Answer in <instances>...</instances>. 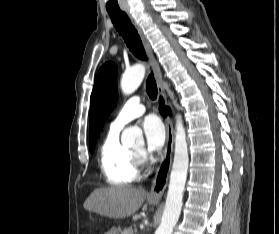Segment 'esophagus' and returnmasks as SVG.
Masks as SVG:
<instances>
[{
  "label": "esophagus",
  "mask_w": 279,
  "mask_h": 234,
  "mask_svg": "<svg viewBox=\"0 0 279 234\" xmlns=\"http://www.w3.org/2000/svg\"><path fill=\"white\" fill-rule=\"evenodd\" d=\"M126 14L131 20L134 27L136 28L141 38L142 44L145 48L146 54L151 61L154 76L157 81L158 94L159 96L165 98L164 89L162 87V76H161L160 66L153 55L150 43L148 42L145 34L143 33L142 28L135 22L131 13L129 11H126ZM165 125H166V146L162 157V161L160 163V166L158 167L153 185L149 193V198L151 199H160L162 197L168 183L169 173L172 164L174 130H173L172 120L169 116L166 117L165 119Z\"/></svg>",
  "instance_id": "34e87169"
}]
</instances>
